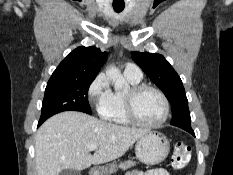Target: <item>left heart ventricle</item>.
Here are the masks:
<instances>
[{
  "label": "left heart ventricle",
  "mask_w": 233,
  "mask_h": 175,
  "mask_svg": "<svg viewBox=\"0 0 233 175\" xmlns=\"http://www.w3.org/2000/svg\"><path fill=\"white\" fill-rule=\"evenodd\" d=\"M135 111L141 121L154 123L162 117L164 105L156 92L144 90L135 100Z\"/></svg>",
  "instance_id": "1"
}]
</instances>
